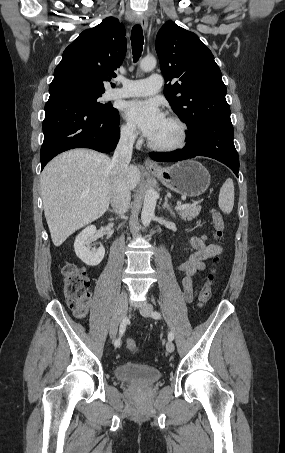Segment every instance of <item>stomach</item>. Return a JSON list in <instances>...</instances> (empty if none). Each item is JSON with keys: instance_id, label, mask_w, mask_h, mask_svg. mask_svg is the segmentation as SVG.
Instances as JSON below:
<instances>
[{"instance_id": "obj_1", "label": "stomach", "mask_w": 285, "mask_h": 453, "mask_svg": "<svg viewBox=\"0 0 285 453\" xmlns=\"http://www.w3.org/2000/svg\"><path fill=\"white\" fill-rule=\"evenodd\" d=\"M151 173L165 187L185 197L200 196L210 185L208 170L195 160L181 161Z\"/></svg>"}]
</instances>
